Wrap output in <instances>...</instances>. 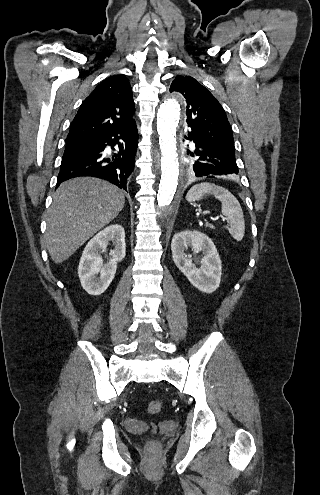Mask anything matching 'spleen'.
I'll return each instance as SVG.
<instances>
[{
  "label": "spleen",
  "mask_w": 320,
  "mask_h": 495,
  "mask_svg": "<svg viewBox=\"0 0 320 495\" xmlns=\"http://www.w3.org/2000/svg\"><path fill=\"white\" fill-rule=\"evenodd\" d=\"M207 194H212L221 201V212L227 218L229 225L225 228L237 241H241L245 233L244 214L236 197L226 188L213 183L203 182L194 185L187 193L189 202L199 201Z\"/></svg>",
  "instance_id": "3e777b00"
}]
</instances>
